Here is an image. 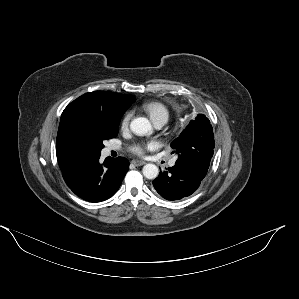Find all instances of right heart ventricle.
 <instances>
[{
	"label": "right heart ventricle",
	"mask_w": 299,
	"mask_h": 299,
	"mask_svg": "<svg viewBox=\"0 0 299 299\" xmlns=\"http://www.w3.org/2000/svg\"><path fill=\"white\" fill-rule=\"evenodd\" d=\"M142 109L148 114L150 119L156 123L160 120H168L169 110L161 102L158 101H148L142 105Z\"/></svg>",
	"instance_id": "1"
}]
</instances>
